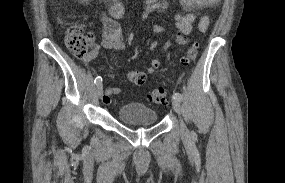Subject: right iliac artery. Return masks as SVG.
Instances as JSON below:
<instances>
[{
	"label": "right iliac artery",
	"instance_id": "82829eb1",
	"mask_svg": "<svg viewBox=\"0 0 285 183\" xmlns=\"http://www.w3.org/2000/svg\"><path fill=\"white\" fill-rule=\"evenodd\" d=\"M102 82V78L100 77V76H97L96 78H95V80H94V83L95 84H99V83H101Z\"/></svg>",
	"mask_w": 285,
	"mask_h": 183
}]
</instances>
